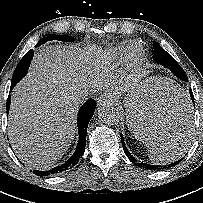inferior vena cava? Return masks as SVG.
<instances>
[{
  "label": "inferior vena cava",
  "mask_w": 203,
  "mask_h": 203,
  "mask_svg": "<svg viewBox=\"0 0 203 203\" xmlns=\"http://www.w3.org/2000/svg\"><path fill=\"white\" fill-rule=\"evenodd\" d=\"M89 95V91L88 90H81V91H78L75 95V99L78 101V102H82L84 99L87 98V96Z\"/></svg>",
  "instance_id": "inferior-vena-cava-1"
}]
</instances>
